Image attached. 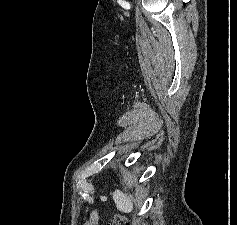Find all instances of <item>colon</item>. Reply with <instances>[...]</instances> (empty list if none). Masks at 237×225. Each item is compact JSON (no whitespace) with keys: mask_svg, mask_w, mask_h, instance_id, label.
Listing matches in <instances>:
<instances>
[{"mask_svg":"<svg viewBox=\"0 0 237 225\" xmlns=\"http://www.w3.org/2000/svg\"><path fill=\"white\" fill-rule=\"evenodd\" d=\"M99 221V212L94 210L91 212L90 218L83 225H97ZM108 225H130V223L121 215L113 216Z\"/></svg>","mask_w":237,"mask_h":225,"instance_id":"5ec220e1","label":"colon"}]
</instances>
